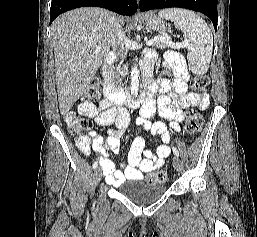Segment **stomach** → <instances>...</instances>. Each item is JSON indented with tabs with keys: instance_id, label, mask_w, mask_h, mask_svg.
Here are the masks:
<instances>
[{
	"instance_id": "obj_1",
	"label": "stomach",
	"mask_w": 257,
	"mask_h": 237,
	"mask_svg": "<svg viewBox=\"0 0 257 237\" xmlns=\"http://www.w3.org/2000/svg\"><path fill=\"white\" fill-rule=\"evenodd\" d=\"M145 20L148 28L152 31L165 33V31L167 30V25L165 24V22L161 18L153 14H147Z\"/></svg>"
}]
</instances>
